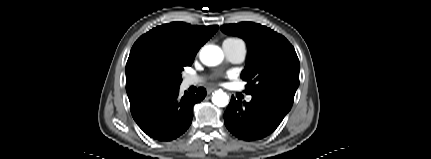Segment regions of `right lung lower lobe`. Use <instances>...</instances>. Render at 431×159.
<instances>
[{
	"mask_svg": "<svg viewBox=\"0 0 431 159\" xmlns=\"http://www.w3.org/2000/svg\"><path fill=\"white\" fill-rule=\"evenodd\" d=\"M206 96L199 88L196 94L179 97V87L154 92L131 105L133 119L151 138L172 141L189 128L193 119V106Z\"/></svg>",
	"mask_w": 431,
	"mask_h": 159,
	"instance_id": "1",
	"label": "right lung lower lobe"
}]
</instances>
